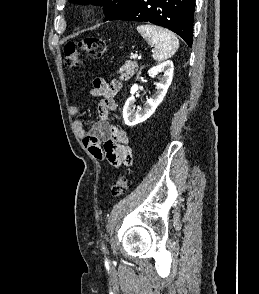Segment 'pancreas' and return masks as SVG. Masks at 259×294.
<instances>
[{
    "instance_id": "obj_1",
    "label": "pancreas",
    "mask_w": 259,
    "mask_h": 294,
    "mask_svg": "<svg viewBox=\"0 0 259 294\" xmlns=\"http://www.w3.org/2000/svg\"><path fill=\"white\" fill-rule=\"evenodd\" d=\"M138 70V64L135 61H126L117 72L120 74V80L128 81Z\"/></svg>"
}]
</instances>
